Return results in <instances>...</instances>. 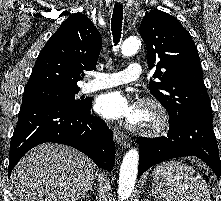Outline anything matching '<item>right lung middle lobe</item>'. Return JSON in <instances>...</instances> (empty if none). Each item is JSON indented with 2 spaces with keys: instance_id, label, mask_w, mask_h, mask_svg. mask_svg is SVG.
<instances>
[{
  "instance_id": "dd1d6c3e",
  "label": "right lung middle lobe",
  "mask_w": 221,
  "mask_h": 201,
  "mask_svg": "<svg viewBox=\"0 0 221 201\" xmlns=\"http://www.w3.org/2000/svg\"><path fill=\"white\" fill-rule=\"evenodd\" d=\"M79 90V88L63 89L54 87L25 88L22 102L39 100L81 109L87 107L90 100H76L75 94H77Z\"/></svg>"
}]
</instances>
